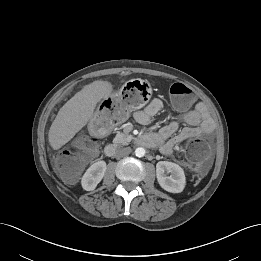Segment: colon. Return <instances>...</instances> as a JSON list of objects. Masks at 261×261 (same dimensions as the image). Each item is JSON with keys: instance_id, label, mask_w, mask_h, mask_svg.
Returning <instances> with one entry per match:
<instances>
[{"instance_id": "1", "label": "colon", "mask_w": 261, "mask_h": 261, "mask_svg": "<svg viewBox=\"0 0 261 261\" xmlns=\"http://www.w3.org/2000/svg\"><path fill=\"white\" fill-rule=\"evenodd\" d=\"M170 93L174 104L181 108L187 107L193 98L190 88L182 83H174L170 88ZM123 118V112H113L112 116L99 117L95 122L97 134L80 135L75 140L72 150L57 156L55 167L63 180L72 183L78 178L85 162L97 153L99 137L106 134L115 122ZM186 151L192 160L202 159L208 154V145L200 139H192L188 142Z\"/></svg>"}]
</instances>
